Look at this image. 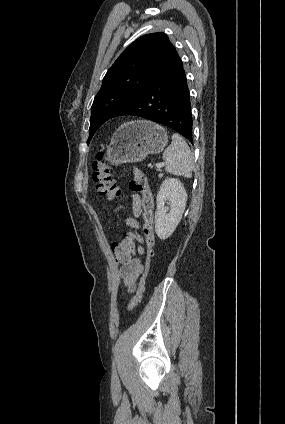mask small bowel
<instances>
[{
  "instance_id": "1",
  "label": "small bowel",
  "mask_w": 285,
  "mask_h": 424,
  "mask_svg": "<svg viewBox=\"0 0 285 424\" xmlns=\"http://www.w3.org/2000/svg\"><path fill=\"white\" fill-rule=\"evenodd\" d=\"M132 202V217L126 219L127 229L125 234L127 237H130L132 240L137 241L139 244L134 246V255L129 259L119 262V276L128 289L129 292H134L136 290V284L138 277L143 272V266L141 264L139 256L143 254L144 249L142 247L143 239L138 233L140 225L136 218L140 217L143 213L140 197L137 194L131 196Z\"/></svg>"
}]
</instances>
